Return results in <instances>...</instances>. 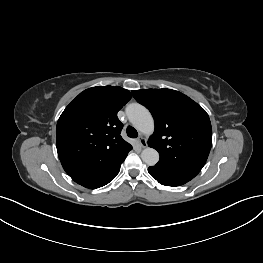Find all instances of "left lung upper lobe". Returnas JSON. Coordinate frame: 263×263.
<instances>
[{
    "label": "left lung upper lobe",
    "instance_id": "1",
    "mask_svg": "<svg viewBox=\"0 0 263 263\" xmlns=\"http://www.w3.org/2000/svg\"><path fill=\"white\" fill-rule=\"evenodd\" d=\"M152 113L155 130L148 145L159 152L157 167L195 177L212 146V127L206 111L181 92L171 89L132 91Z\"/></svg>",
    "mask_w": 263,
    "mask_h": 263
}]
</instances>
